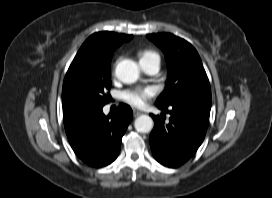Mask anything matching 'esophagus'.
I'll return each mask as SVG.
<instances>
[{
  "mask_svg": "<svg viewBox=\"0 0 272 198\" xmlns=\"http://www.w3.org/2000/svg\"><path fill=\"white\" fill-rule=\"evenodd\" d=\"M133 114H134V117H138L140 116L141 114H143L142 111L138 110V109H133Z\"/></svg>",
  "mask_w": 272,
  "mask_h": 198,
  "instance_id": "34e87169",
  "label": "esophagus"
}]
</instances>
